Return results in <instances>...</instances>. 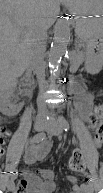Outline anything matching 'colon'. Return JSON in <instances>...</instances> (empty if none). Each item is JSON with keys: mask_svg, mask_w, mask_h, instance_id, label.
Segmentation results:
<instances>
[{"mask_svg": "<svg viewBox=\"0 0 103 193\" xmlns=\"http://www.w3.org/2000/svg\"><path fill=\"white\" fill-rule=\"evenodd\" d=\"M102 117H103V106L98 105L96 107L95 113L90 116L91 123L95 129L94 134V144L99 147L103 143V124H102ZM6 129H2L1 136H0V146L4 144V140L6 138ZM2 152V149L0 150ZM86 167L85 157L84 154L76 150L70 157L69 160V168L72 172H83Z\"/></svg>", "mask_w": 103, "mask_h": 193, "instance_id": "1", "label": "colon"}]
</instances>
